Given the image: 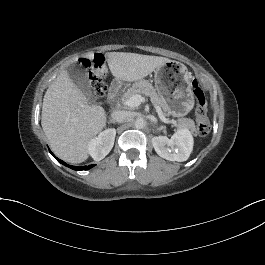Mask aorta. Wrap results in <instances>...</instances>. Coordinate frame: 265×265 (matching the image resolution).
Instances as JSON below:
<instances>
[{
  "label": "aorta",
  "mask_w": 265,
  "mask_h": 265,
  "mask_svg": "<svg viewBox=\"0 0 265 265\" xmlns=\"http://www.w3.org/2000/svg\"><path fill=\"white\" fill-rule=\"evenodd\" d=\"M134 126L137 128V129H142L145 127V120L143 118H136L135 119V122H134Z\"/></svg>",
  "instance_id": "obj_1"
}]
</instances>
